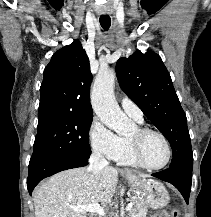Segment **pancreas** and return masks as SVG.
Listing matches in <instances>:
<instances>
[{
    "label": "pancreas",
    "mask_w": 211,
    "mask_h": 217,
    "mask_svg": "<svg viewBox=\"0 0 211 217\" xmlns=\"http://www.w3.org/2000/svg\"><path fill=\"white\" fill-rule=\"evenodd\" d=\"M134 207L129 211V217H146L147 215V205L143 198L134 197L131 199Z\"/></svg>",
    "instance_id": "cf45deb5"
}]
</instances>
